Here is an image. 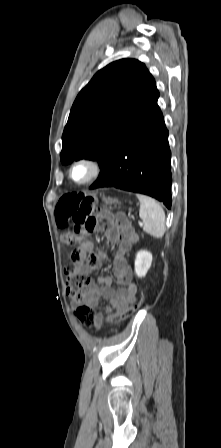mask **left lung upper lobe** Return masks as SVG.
Wrapping results in <instances>:
<instances>
[{
  "instance_id": "left-lung-upper-lobe-1",
  "label": "left lung upper lobe",
  "mask_w": 221,
  "mask_h": 448,
  "mask_svg": "<svg viewBox=\"0 0 221 448\" xmlns=\"http://www.w3.org/2000/svg\"><path fill=\"white\" fill-rule=\"evenodd\" d=\"M158 97L154 78L138 60L121 59L98 71L71 108L62 136V164L85 158L103 168Z\"/></svg>"
}]
</instances>
